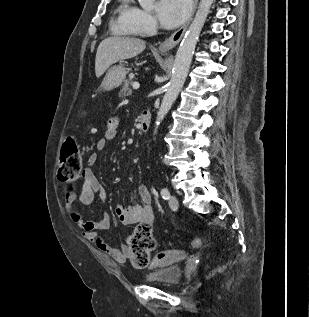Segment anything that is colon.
<instances>
[{
  "instance_id": "1",
  "label": "colon",
  "mask_w": 309,
  "mask_h": 317,
  "mask_svg": "<svg viewBox=\"0 0 309 317\" xmlns=\"http://www.w3.org/2000/svg\"><path fill=\"white\" fill-rule=\"evenodd\" d=\"M82 168V159L76 141L67 137L63 142L58 167V179L65 184H73L79 177ZM202 244L200 238H194L192 248H199ZM132 250L133 264L138 268L159 266L173 256V252H161L154 258L150 254L155 249L156 242L148 224H139L129 238Z\"/></svg>"
}]
</instances>
